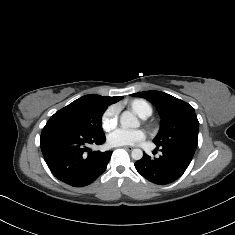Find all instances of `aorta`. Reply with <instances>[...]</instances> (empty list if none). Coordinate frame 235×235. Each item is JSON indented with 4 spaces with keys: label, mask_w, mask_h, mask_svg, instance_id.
I'll return each instance as SVG.
<instances>
[{
    "label": "aorta",
    "mask_w": 235,
    "mask_h": 235,
    "mask_svg": "<svg viewBox=\"0 0 235 235\" xmlns=\"http://www.w3.org/2000/svg\"><path fill=\"white\" fill-rule=\"evenodd\" d=\"M119 120L123 129L137 128L140 125L138 119L129 111L122 112ZM131 157L134 160H140L143 157V151L138 148L133 149L131 152Z\"/></svg>",
    "instance_id": "762f6f07"
}]
</instances>
